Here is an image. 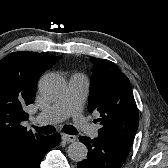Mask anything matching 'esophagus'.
Masks as SVG:
<instances>
[{"label":"esophagus","mask_w":168,"mask_h":168,"mask_svg":"<svg viewBox=\"0 0 168 168\" xmlns=\"http://www.w3.org/2000/svg\"><path fill=\"white\" fill-rule=\"evenodd\" d=\"M62 140L65 141V142H74V141H76V136L63 134L62 135Z\"/></svg>","instance_id":"obj_1"}]
</instances>
